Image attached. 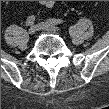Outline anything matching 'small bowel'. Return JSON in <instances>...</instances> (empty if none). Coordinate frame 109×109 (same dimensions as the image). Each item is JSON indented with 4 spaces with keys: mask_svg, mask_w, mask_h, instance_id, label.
<instances>
[{
    "mask_svg": "<svg viewBox=\"0 0 109 109\" xmlns=\"http://www.w3.org/2000/svg\"><path fill=\"white\" fill-rule=\"evenodd\" d=\"M54 1H42L41 4L46 8H52L54 6Z\"/></svg>",
    "mask_w": 109,
    "mask_h": 109,
    "instance_id": "obj_1",
    "label": "small bowel"
}]
</instances>
